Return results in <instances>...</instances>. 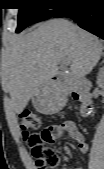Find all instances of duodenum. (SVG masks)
<instances>
[{
    "instance_id": "duodenum-1",
    "label": "duodenum",
    "mask_w": 104,
    "mask_h": 169,
    "mask_svg": "<svg viewBox=\"0 0 104 169\" xmlns=\"http://www.w3.org/2000/svg\"><path fill=\"white\" fill-rule=\"evenodd\" d=\"M61 76H55L53 79L58 80ZM91 84L87 79H80L75 82L74 84V91L79 96L81 101V114L82 116H85L86 112L88 111V108L91 104Z\"/></svg>"
}]
</instances>
